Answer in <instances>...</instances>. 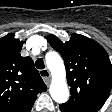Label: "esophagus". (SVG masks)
I'll return each instance as SVG.
<instances>
[{
	"instance_id": "34e87169",
	"label": "esophagus",
	"mask_w": 112,
	"mask_h": 112,
	"mask_svg": "<svg viewBox=\"0 0 112 112\" xmlns=\"http://www.w3.org/2000/svg\"><path fill=\"white\" fill-rule=\"evenodd\" d=\"M40 75H41L43 81L47 85H49V83H50V72L47 69H43V70L40 71Z\"/></svg>"
}]
</instances>
